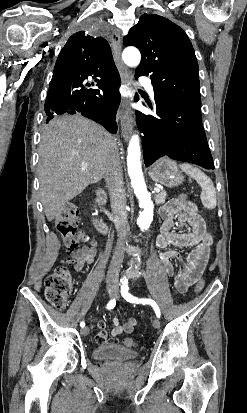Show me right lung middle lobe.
Returning a JSON list of instances; mask_svg holds the SVG:
<instances>
[{"instance_id":"obj_1","label":"right lung middle lobe","mask_w":247,"mask_h":413,"mask_svg":"<svg viewBox=\"0 0 247 413\" xmlns=\"http://www.w3.org/2000/svg\"><path fill=\"white\" fill-rule=\"evenodd\" d=\"M68 92H69L68 88L50 84L48 94H47V99H59L67 95Z\"/></svg>"}]
</instances>
